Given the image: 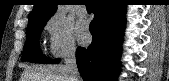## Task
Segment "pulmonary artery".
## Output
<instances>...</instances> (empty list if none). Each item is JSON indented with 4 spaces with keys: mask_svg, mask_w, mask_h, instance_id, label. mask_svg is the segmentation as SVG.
<instances>
[{
    "mask_svg": "<svg viewBox=\"0 0 169 81\" xmlns=\"http://www.w3.org/2000/svg\"><path fill=\"white\" fill-rule=\"evenodd\" d=\"M77 13H78V15H80V16H84V15L87 13V11H86L85 8L80 7V8L77 10Z\"/></svg>",
    "mask_w": 169,
    "mask_h": 81,
    "instance_id": "1",
    "label": "pulmonary artery"
}]
</instances>
